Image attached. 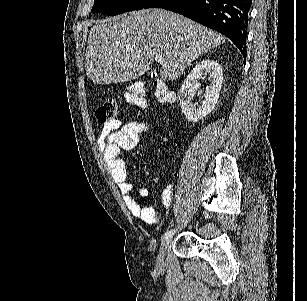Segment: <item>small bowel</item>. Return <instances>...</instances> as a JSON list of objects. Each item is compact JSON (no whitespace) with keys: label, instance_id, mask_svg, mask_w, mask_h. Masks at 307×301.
Here are the masks:
<instances>
[{"label":"small bowel","instance_id":"small-bowel-1","mask_svg":"<svg viewBox=\"0 0 307 301\" xmlns=\"http://www.w3.org/2000/svg\"><path fill=\"white\" fill-rule=\"evenodd\" d=\"M147 129V123L142 120H133L126 123L113 120L103 125L98 137V145L103 152L110 174L131 214L146 223L153 224L158 221L159 215L152 207L136 201L132 195V184L127 178L125 162L119 156L122 150L134 149L139 143L140 135ZM147 192V189L142 188L138 191V195L145 196ZM173 193V184L164 188L162 204L165 208L172 204Z\"/></svg>","mask_w":307,"mask_h":301}]
</instances>
